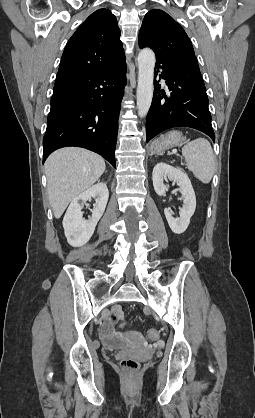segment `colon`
Here are the masks:
<instances>
[{"instance_id": "obj_1", "label": "colon", "mask_w": 255, "mask_h": 418, "mask_svg": "<svg viewBox=\"0 0 255 418\" xmlns=\"http://www.w3.org/2000/svg\"><path fill=\"white\" fill-rule=\"evenodd\" d=\"M157 336H158V333L156 330H150L147 332V338L149 340H155ZM119 364H120L122 371L129 376L136 375L140 368L139 361L134 358H128V357L122 358Z\"/></svg>"}]
</instances>
